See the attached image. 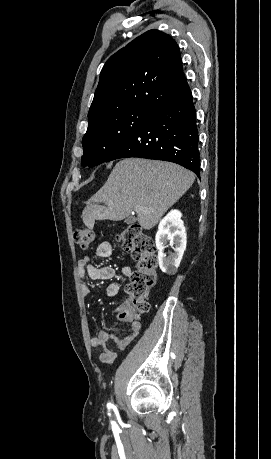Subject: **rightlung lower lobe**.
Returning <instances> with one entry per match:
<instances>
[{"label": "right lung lower lobe", "mask_w": 271, "mask_h": 459, "mask_svg": "<svg viewBox=\"0 0 271 459\" xmlns=\"http://www.w3.org/2000/svg\"><path fill=\"white\" fill-rule=\"evenodd\" d=\"M192 93L187 85L159 106L105 160L138 157L170 161L200 177L199 136Z\"/></svg>", "instance_id": "1"}]
</instances>
